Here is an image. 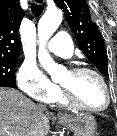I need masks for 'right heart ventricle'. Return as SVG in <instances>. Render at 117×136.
Masks as SVG:
<instances>
[{"label":"right heart ventricle","instance_id":"1","mask_svg":"<svg viewBox=\"0 0 117 136\" xmlns=\"http://www.w3.org/2000/svg\"><path fill=\"white\" fill-rule=\"evenodd\" d=\"M55 101H57V102L60 103V104H66V102H65L63 96L60 94V92H59L58 95L56 96Z\"/></svg>","mask_w":117,"mask_h":136}]
</instances>
